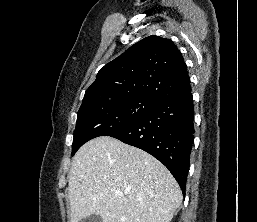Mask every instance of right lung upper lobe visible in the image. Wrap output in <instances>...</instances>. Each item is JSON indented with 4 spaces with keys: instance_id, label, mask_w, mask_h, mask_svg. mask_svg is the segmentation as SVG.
Masks as SVG:
<instances>
[{
    "instance_id": "1",
    "label": "right lung upper lobe",
    "mask_w": 257,
    "mask_h": 222,
    "mask_svg": "<svg viewBox=\"0 0 257 222\" xmlns=\"http://www.w3.org/2000/svg\"><path fill=\"white\" fill-rule=\"evenodd\" d=\"M190 89L187 66L177 46L169 39L152 35L100 69L82 104L97 98L137 96L161 102Z\"/></svg>"
}]
</instances>
